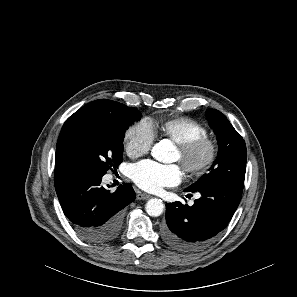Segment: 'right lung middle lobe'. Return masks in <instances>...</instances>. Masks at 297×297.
I'll return each mask as SVG.
<instances>
[{
  "label": "right lung middle lobe",
  "instance_id": "obj_1",
  "mask_svg": "<svg viewBox=\"0 0 297 297\" xmlns=\"http://www.w3.org/2000/svg\"><path fill=\"white\" fill-rule=\"evenodd\" d=\"M117 121L76 117L63 125L56 146V167L85 169L103 176L123 161V139L128 126L141 116L119 104Z\"/></svg>",
  "mask_w": 297,
  "mask_h": 297
}]
</instances>
